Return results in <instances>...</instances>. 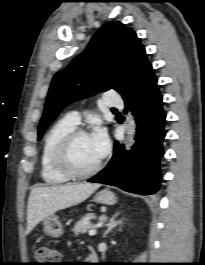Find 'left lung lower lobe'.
I'll use <instances>...</instances> for the list:
<instances>
[{
	"label": "left lung lower lobe",
	"mask_w": 205,
	"mask_h": 265,
	"mask_svg": "<svg viewBox=\"0 0 205 265\" xmlns=\"http://www.w3.org/2000/svg\"><path fill=\"white\" fill-rule=\"evenodd\" d=\"M123 99L127 106L136 105L134 109L138 128L133 151L124 156V146L116 142L108 166L88 179V182L117 186L140 195L155 194L160 185L159 162L164 154L162 141L165 137L166 115L152 66Z\"/></svg>",
	"instance_id": "1"
}]
</instances>
